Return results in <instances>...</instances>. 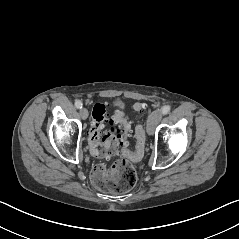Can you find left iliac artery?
<instances>
[{
  "instance_id": "left-iliac-artery-1",
  "label": "left iliac artery",
  "mask_w": 239,
  "mask_h": 239,
  "mask_svg": "<svg viewBox=\"0 0 239 239\" xmlns=\"http://www.w3.org/2000/svg\"><path fill=\"white\" fill-rule=\"evenodd\" d=\"M170 112V106L168 105H165L163 108H162V113L164 115L168 114Z\"/></svg>"
}]
</instances>
